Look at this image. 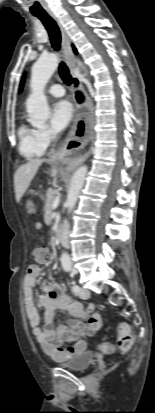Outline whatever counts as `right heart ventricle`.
<instances>
[{
    "label": "right heart ventricle",
    "instance_id": "1",
    "mask_svg": "<svg viewBox=\"0 0 155 413\" xmlns=\"http://www.w3.org/2000/svg\"><path fill=\"white\" fill-rule=\"evenodd\" d=\"M19 152L26 159H35L43 155L44 149L40 146L36 129L22 123L18 128Z\"/></svg>",
    "mask_w": 155,
    "mask_h": 413
}]
</instances>
